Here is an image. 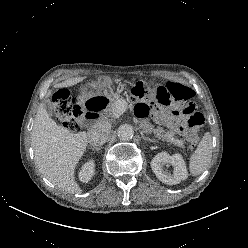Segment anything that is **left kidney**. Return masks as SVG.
I'll return each mask as SVG.
<instances>
[{
	"mask_svg": "<svg viewBox=\"0 0 248 248\" xmlns=\"http://www.w3.org/2000/svg\"><path fill=\"white\" fill-rule=\"evenodd\" d=\"M173 166V173L164 171V165ZM151 168L156 177L163 183L175 185L187 179L188 172L183 157L176 153L170 156L167 152L158 153L151 161Z\"/></svg>",
	"mask_w": 248,
	"mask_h": 248,
	"instance_id": "obj_1",
	"label": "left kidney"
}]
</instances>
